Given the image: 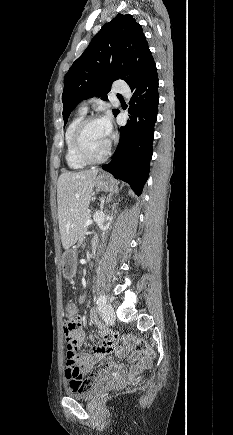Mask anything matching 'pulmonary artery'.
<instances>
[{"mask_svg": "<svg viewBox=\"0 0 233 435\" xmlns=\"http://www.w3.org/2000/svg\"><path fill=\"white\" fill-rule=\"evenodd\" d=\"M113 91L118 93L120 96H128L129 94V89L123 79H116L114 81ZM82 110L86 111V102L82 103Z\"/></svg>", "mask_w": 233, "mask_h": 435, "instance_id": "e3ab8cb5", "label": "pulmonary artery"}]
</instances>
